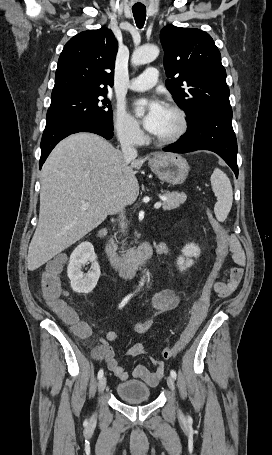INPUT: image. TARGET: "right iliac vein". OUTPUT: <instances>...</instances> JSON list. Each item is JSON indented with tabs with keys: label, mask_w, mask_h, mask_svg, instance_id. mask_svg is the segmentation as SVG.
<instances>
[{
	"label": "right iliac vein",
	"mask_w": 272,
	"mask_h": 455,
	"mask_svg": "<svg viewBox=\"0 0 272 455\" xmlns=\"http://www.w3.org/2000/svg\"><path fill=\"white\" fill-rule=\"evenodd\" d=\"M106 383H107L106 377L105 376L101 377L99 382H98V391H99V393L104 391V389L106 387Z\"/></svg>",
	"instance_id": "1"
}]
</instances>
